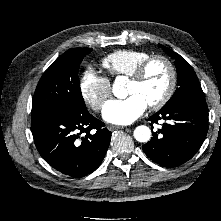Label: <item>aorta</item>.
Instances as JSON below:
<instances>
[{"mask_svg": "<svg viewBox=\"0 0 221 221\" xmlns=\"http://www.w3.org/2000/svg\"><path fill=\"white\" fill-rule=\"evenodd\" d=\"M113 93L116 97H121L122 94H126L124 79L122 77H117L115 79ZM134 137L139 142H148L151 138V130L147 126L140 125L135 128Z\"/></svg>", "mask_w": 221, "mask_h": 221, "instance_id": "aorta-1", "label": "aorta"}]
</instances>
